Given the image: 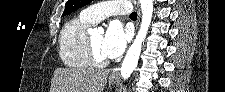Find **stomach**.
<instances>
[{"mask_svg": "<svg viewBox=\"0 0 225 92\" xmlns=\"http://www.w3.org/2000/svg\"><path fill=\"white\" fill-rule=\"evenodd\" d=\"M116 81V78L113 76V75H110V77H109V82L110 83H113V82H115Z\"/></svg>", "mask_w": 225, "mask_h": 92, "instance_id": "1", "label": "stomach"}]
</instances>
